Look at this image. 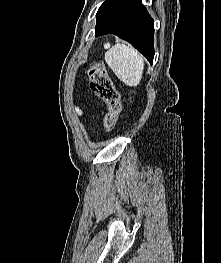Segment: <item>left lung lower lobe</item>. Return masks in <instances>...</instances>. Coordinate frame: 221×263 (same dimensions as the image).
<instances>
[{
  "mask_svg": "<svg viewBox=\"0 0 221 263\" xmlns=\"http://www.w3.org/2000/svg\"><path fill=\"white\" fill-rule=\"evenodd\" d=\"M95 36L115 34L128 41L152 64L154 21L141 0H106L97 14Z\"/></svg>",
  "mask_w": 221,
  "mask_h": 263,
  "instance_id": "left-lung-lower-lobe-1",
  "label": "left lung lower lobe"
}]
</instances>
